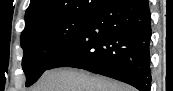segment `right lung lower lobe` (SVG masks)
<instances>
[{"instance_id": "right-lung-lower-lobe-1", "label": "right lung lower lobe", "mask_w": 173, "mask_h": 91, "mask_svg": "<svg viewBox=\"0 0 173 91\" xmlns=\"http://www.w3.org/2000/svg\"><path fill=\"white\" fill-rule=\"evenodd\" d=\"M150 39L147 0H105L82 33L47 69L80 68L149 91Z\"/></svg>"}]
</instances>
